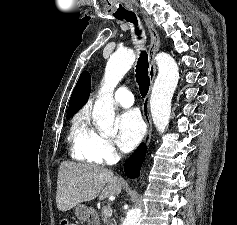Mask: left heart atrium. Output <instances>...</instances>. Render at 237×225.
I'll list each match as a JSON object with an SVG mask.
<instances>
[{"label": "left heart atrium", "mask_w": 237, "mask_h": 225, "mask_svg": "<svg viewBox=\"0 0 237 225\" xmlns=\"http://www.w3.org/2000/svg\"><path fill=\"white\" fill-rule=\"evenodd\" d=\"M143 134L144 125L137 111H127L119 116L117 142L123 151L129 152L135 148Z\"/></svg>", "instance_id": "1"}]
</instances>
